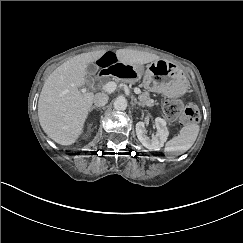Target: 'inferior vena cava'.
<instances>
[{"label": "inferior vena cava", "mask_w": 243, "mask_h": 243, "mask_svg": "<svg viewBox=\"0 0 243 243\" xmlns=\"http://www.w3.org/2000/svg\"><path fill=\"white\" fill-rule=\"evenodd\" d=\"M108 95L105 94V93H97L95 96H94V99H93V103L95 104V106H104L107 104L108 102Z\"/></svg>", "instance_id": "602c4592"}]
</instances>
